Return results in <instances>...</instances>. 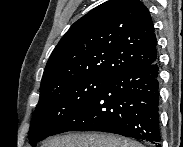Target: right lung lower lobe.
I'll use <instances>...</instances> for the list:
<instances>
[{
  "mask_svg": "<svg viewBox=\"0 0 183 147\" xmlns=\"http://www.w3.org/2000/svg\"><path fill=\"white\" fill-rule=\"evenodd\" d=\"M158 71L155 61L115 75L68 116L52 135L68 131H101L160 142Z\"/></svg>",
  "mask_w": 183,
  "mask_h": 147,
  "instance_id": "obj_1",
  "label": "right lung lower lobe"
}]
</instances>
